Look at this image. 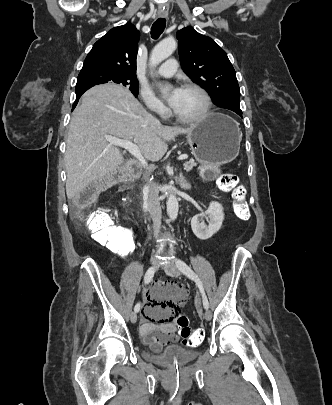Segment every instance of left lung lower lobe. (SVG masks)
<instances>
[{
	"mask_svg": "<svg viewBox=\"0 0 332 405\" xmlns=\"http://www.w3.org/2000/svg\"><path fill=\"white\" fill-rule=\"evenodd\" d=\"M234 112L237 113L239 116L242 117V111H241V109H240V105H238V106L235 108V111H234Z\"/></svg>",
	"mask_w": 332,
	"mask_h": 405,
	"instance_id": "left-lung-lower-lobe-1",
	"label": "left lung lower lobe"
}]
</instances>
